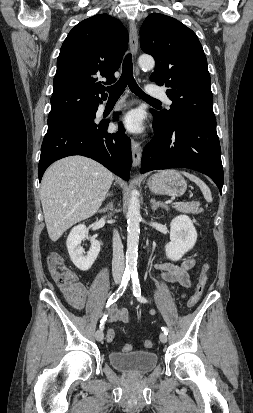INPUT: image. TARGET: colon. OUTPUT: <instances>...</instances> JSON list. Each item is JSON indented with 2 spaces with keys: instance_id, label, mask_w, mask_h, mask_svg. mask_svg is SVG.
Returning <instances> with one entry per match:
<instances>
[{
  "instance_id": "1",
  "label": "colon",
  "mask_w": 253,
  "mask_h": 413,
  "mask_svg": "<svg viewBox=\"0 0 253 413\" xmlns=\"http://www.w3.org/2000/svg\"><path fill=\"white\" fill-rule=\"evenodd\" d=\"M47 265H48V269H49V272L52 278L60 286L67 285L74 280L75 274L66 266L63 259L58 254H55V253L51 254L48 257ZM208 271H209V265L207 263L203 264L196 287H195V291L187 302L188 308L194 307L200 300L204 292L205 286L207 284V281H208ZM114 338H115V331L113 329H109L106 334L107 341L112 342ZM143 344H144V347L147 349L151 348L153 345L150 340H145ZM130 350H131V346L129 344H126L123 346V351L127 352Z\"/></svg>"
}]
</instances>
